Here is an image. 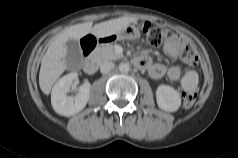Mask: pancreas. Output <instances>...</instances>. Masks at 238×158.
<instances>
[{
    "label": "pancreas",
    "instance_id": "obj_1",
    "mask_svg": "<svg viewBox=\"0 0 238 158\" xmlns=\"http://www.w3.org/2000/svg\"><path fill=\"white\" fill-rule=\"evenodd\" d=\"M122 55L116 54L113 45L105 44L95 49L91 55V58L98 64H102L106 61L117 60L122 58Z\"/></svg>",
    "mask_w": 238,
    "mask_h": 158
}]
</instances>
